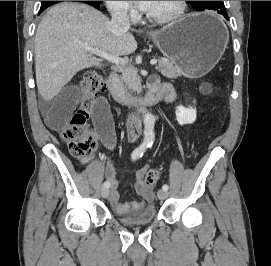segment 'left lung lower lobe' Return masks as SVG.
Segmentation results:
<instances>
[{
    "label": "left lung lower lobe",
    "mask_w": 271,
    "mask_h": 266,
    "mask_svg": "<svg viewBox=\"0 0 271 266\" xmlns=\"http://www.w3.org/2000/svg\"><path fill=\"white\" fill-rule=\"evenodd\" d=\"M219 14L222 15L226 20H228L227 12H223V13H219Z\"/></svg>",
    "instance_id": "left-lung-lower-lobe-1"
}]
</instances>
